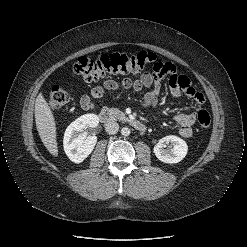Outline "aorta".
<instances>
[{"label": "aorta", "instance_id": "aorta-1", "mask_svg": "<svg viewBox=\"0 0 247 247\" xmlns=\"http://www.w3.org/2000/svg\"><path fill=\"white\" fill-rule=\"evenodd\" d=\"M121 134H122L123 136H129V135H130V129H129L128 127H123V128L121 129Z\"/></svg>", "mask_w": 247, "mask_h": 247}]
</instances>
